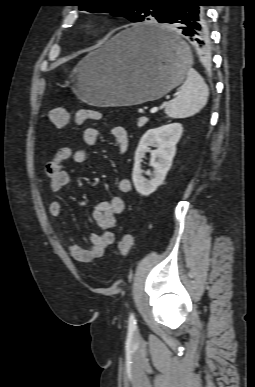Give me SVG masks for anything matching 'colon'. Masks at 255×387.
<instances>
[{"mask_svg":"<svg viewBox=\"0 0 255 387\" xmlns=\"http://www.w3.org/2000/svg\"><path fill=\"white\" fill-rule=\"evenodd\" d=\"M50 122L58 127L65 128L71 122V116L67 109L62 106H56L49 111ZM101 114L93 109H81L74 116V122L81 124L87 120H100ZM136 241L133 235L126 233L119 241L118 249L123 257H127L135 247Z\"/></svg>","mask_w":255,"mask_h":387,"instance_id":"obj_1","label":"colon"}]
</instances>
